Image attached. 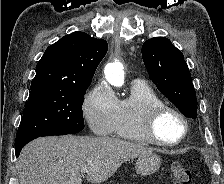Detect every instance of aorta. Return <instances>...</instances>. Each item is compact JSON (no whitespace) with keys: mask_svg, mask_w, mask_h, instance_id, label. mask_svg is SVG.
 I'll return each instance as SVG.
<instances>
[{"mask_svg":"<svg viewBox=\"0 0 224 184\" xmlns=\"http://www.w3.org/2000/svg\"><path fill=\"white\" fill-rule=\"evenodd\" d=\"M106 80L115 87H120L124 84L123 66L119 62L107 64L104 70Z\"/></svg>","mask_w":224,"mask_h":184,"instance_id":"762f6f07","label":"aorta"}]
</instances>
